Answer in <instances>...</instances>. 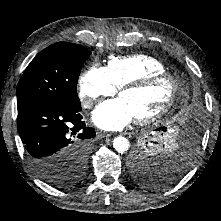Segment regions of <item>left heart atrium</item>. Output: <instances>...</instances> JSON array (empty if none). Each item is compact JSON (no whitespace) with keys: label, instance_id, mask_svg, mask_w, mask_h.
<instances>
[{"label":"left heart atrium","instance_id":"left-heart-atrium-1","mask_svg":"<svg viewBox=\"0 0 221 221\" xmlns=\"http://www.w3.org/2000/svg\"><path fill=\"white\" fill-rule=\"evenodd\" d=\"M134 119L131 108L121 98L102 102L92 114L95 125L109 131L123 129Z\"/></svg>","mask_w":221,"mask_h":221}]
</instances>
